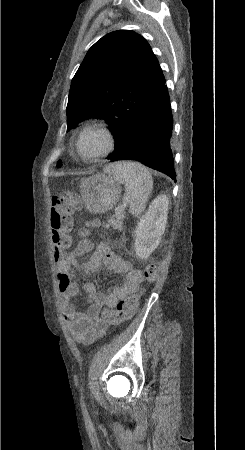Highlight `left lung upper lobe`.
Wrapping results in <instances>:
<instances>
[{"label": "left lung upper lobe", "instance_id": "left-lung-upper-lobe-1", "mask_svg": "<svg viewBox=\"0 0 245 450\" xmlns=\"http://www.w3.org/2000/svg\"><path fill=\"white\" fill-rule=\"evenodd\" d=\"M164 82L158 60L143 37L129 30L111 32L89 49L72 79L67 130L87 118H104L115 135L114 152H119Z\"/></svg>", "mask_w": 245, "mask_h": 450}]
</instances>
